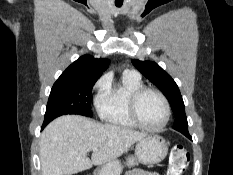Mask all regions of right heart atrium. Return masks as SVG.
I'll return each instance as SVG.
<instances>
[{"label":"right heart atrium","instance_id":"right-heart-atrium-1","mask_svg":"<svg viewBox=\"0 0 233 175\" xmlns=\"http://www.w3.org/2000/svg\"><path fill=\"white\" fill-rule=\"evenodd\" d=\"M107 81L108 79L107 78H101L99 79L95 85H94V91H99L101 92L107 85Z\"/></svg>","mask_w":233,"mask_h":175}]
</instances>
